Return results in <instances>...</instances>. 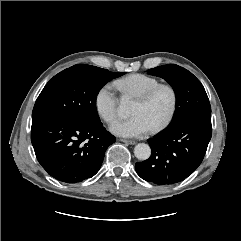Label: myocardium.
Here are the masks:
<instances>
[{"label":"myocardium","mask_w":241,"mask_h":241,"mask_svg":"<svg viewBox=\"0 0 241 241\" xmlns=\"http://www.w3.org/2000/svg\"><path fill=\"white\" fill-rule=\"evenodd\" d=\"M166 91L170 95L171 104L166 116L151 128V132H159L167 127L175 116L177 106H178V94L176 89L170 84H159L144 94L135 98L136 101L140 103H148L153 100L160 92Z\"/></svg>","instance_id":"myocardium-1"}]
</instances>
